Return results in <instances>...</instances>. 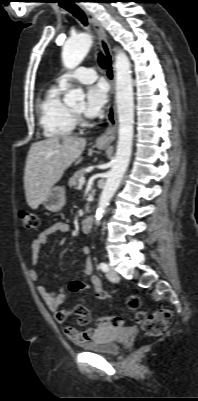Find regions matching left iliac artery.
I'll return each instance as SVG.
<instances>
[{"label": "left iliac artery", "mask_w": 198, "mask_h": 401, "mask_svg": "<svg viewBox=\"0 0 198 401\" xmlns=\"http://www.w3.org/2000/svg\"><path fill=\"white\" fill-rule=\"evenodd\" d=\"M100 269L103 272H107L109 270V267H108V265L106 263L102 262V263H100Z\"/></svg>", "instance_id": "left-iliac-artery-1"}]
</instances>
